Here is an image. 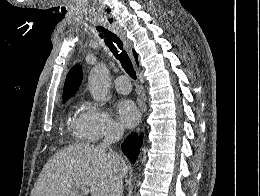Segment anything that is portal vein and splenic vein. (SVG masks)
I'll list each match as a JSON object with an SVG mask.
<instances>
[{"label": "portal vein and splenic vein", "instance_id": "18ae733b", "mask_svg": "<svg viewBox=\"0 0 260 196\" xmlns=\"http://www.w3.org/2000/svg\"><path fill=\"white\" fill-rule=\"evenodd\" d=\"M78 188H80V190H81V192H83V194H89V192H90L88 186H78Z\"/></svg>", "mask_w": 260, "mask_h": 196}]
</instances>
